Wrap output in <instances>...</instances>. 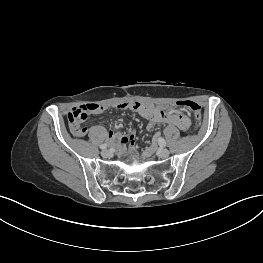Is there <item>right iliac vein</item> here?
<instances>
[{
    "label": "right iliac vein",
    "mask_w": 263,
    "mask_h": 263,
    "mask_svg": "<svg viewBox=\"0 0 263 263\" xmlns=\"http://www.w3.org/2000/svg\"><path fill=\"white\" fill-rule=\"evenodd\" d=\"M101 155L105 158L109 157L110 156V151L109 150H103L101 152Z\"/></svg>",
    "instance_id": "1"
}]
</instances>
